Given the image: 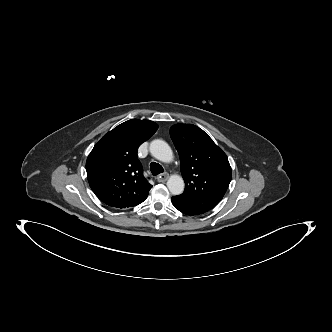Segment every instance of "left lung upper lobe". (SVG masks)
<instances>
[{"mask_svg":"<svg viewBox=\"0 0 332 332\" xmlns=\"http://www.w3.org/2000/svg\"><path fill=\"white\" fill-rule=\"evenodd\" d=\"M171 139L180 157L185 190L176 196L184 202L209 211L223 198L232 178L226 154L199 127L176 124Z\"/></svg>","mask_w":332,"mask_h":332,"instance_id":"1","label":"left lung upper lobe"}]
</instances>
